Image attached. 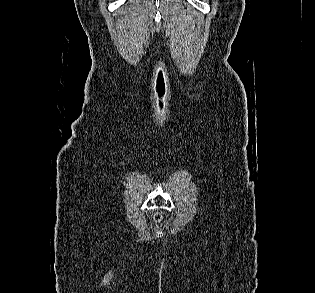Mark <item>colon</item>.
I'll return each mask as SVG.
<instances>
[{
	"instance_id": "colon-1",
	"label": "colon",
	"mask_w": 315,
	"mask_h": 293,
	"mask_svg": "<svg viewBox=\"0 0 315 293\" xmlns=\"http://www.w3.org/2000/svg\"><path fill=\"white\" fill-rule=\"evenodd\" d=\"M161 219H162L161 213H156V214H155V220H156V221H160Z\"/></svg>"
}]
</instances>
